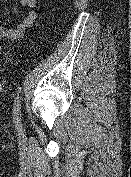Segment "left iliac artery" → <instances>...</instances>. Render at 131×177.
Segmentation results:
<instances>
[{"label":"left iliac artery","mask_w":131,"mask_h":177,"mask_svg":"<svg viewBox=\"0 0 131 177\" xmlns=\"http://www.w3.org/2000/svg\"><path fill=\"white\" fill-rule=\"evenodd\" d=\"M21 104H20V96L17 94L14 100L13 104V114H14V119L16 120V123H19L21 119Z\"/></svg>","instance_id":"44dca946"}]
</instances>
